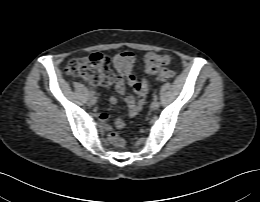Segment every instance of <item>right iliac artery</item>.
<instances>
[{"instance_id":"obj_1","label":"right iliac artery","mask_w":260,"mask_h":202,"mask_svg":"<svg viewBox=\"0 0 260 202\" xmlns=\"http://www.w3.org/2000/svg\"><path fill=\"white\" fill-rule=\"evenodd\" d=\"M89 94L91 95V96H93V95H95V92L94 91H89Z\"/></svg>"}]
</instances>
